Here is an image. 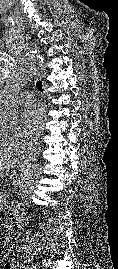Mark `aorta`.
I'll return each mask as SVG.
<instances>
[{"instance_id":"762f6f07","label":"aorta","mask_w":118,"mask_h":269,"mask_svg":"<svg viewBox=\"0 0 118 269\" xmlns=\"http://www.w3.org/2000/svg\"><path fill=\"white\" fill-rule=\"evenodd\" d=\"M41 63L42 57L39 55L26 56L8 80L4 92L0 96V118L5 123L15 125L18 122L19 110L16 98L23 85L36 73ZM41 174L42 167L39 164L24 169L19 180L20 190L29 189L40 178Z\"/></svg>"}]
</instances>
